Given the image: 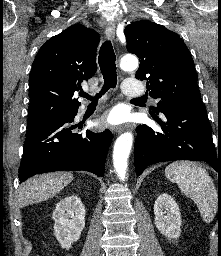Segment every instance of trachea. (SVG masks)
<instances>
[{"label":"trachea","mask_w":221,"mask_h":256,"mask_svg":"<svg viewBox=\"0 0 221 256\" xmlns=\"http://www.w3.org/2000/svg\"><path fill=\"white\" fill-rule=\"evenodd\" d=\"M98 61L104 79V85L100 93H98L96 97H91L89 94L85 92H80V96L90 99L92 102H96L97 99L102 96V94L107 92L110 88H115L117 85V74L115 64L116 57L110 41L104 42L100 47ZM142 99L144 98H135L133 99V101Z\"/></svg>","instance_id":"1"}]
</instances>
